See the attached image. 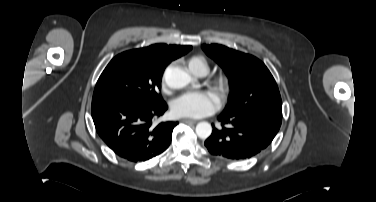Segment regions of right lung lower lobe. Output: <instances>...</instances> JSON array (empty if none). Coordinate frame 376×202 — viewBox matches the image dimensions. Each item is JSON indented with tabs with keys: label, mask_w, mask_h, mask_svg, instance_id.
<instances>
[{
	"label": "right lung lower lobe",
	"mask_w": 376,
	"mask_h": 202,
	"mask_svg": "<svg viewBox=\"0 0 376 202\" xmlns=\"http://www.w3.org/2000/svg\"><path fill=\"white\" fill-rule=\"evenodd\" d=\"M167 104L158 102L110 99L92 105V117L98 135L120 157L142 162L165 151L178 122H162L152 126Z\"/></svg>",
	"instance_id": "1"
}]
</instances>
